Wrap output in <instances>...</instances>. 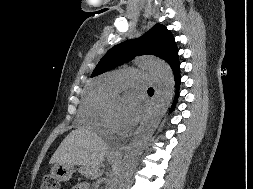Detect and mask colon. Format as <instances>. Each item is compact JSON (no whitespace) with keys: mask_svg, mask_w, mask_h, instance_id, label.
I'll return each mask as SVG.
<instances>
[{"mask_svg":"<svg viewBox=\"0 0 253 189\" xmlns=\"http://www.w3.org/2000/svg\"><path fill=\"white\" fill-rule=\"evenodd\" d=\"M40 189H60L58 181L51 175H46L43 178Z\"/></svg>","mask_w":253,"mask_h":189,"instance_id":"obj_1","label":"colon"}]
</instances>
